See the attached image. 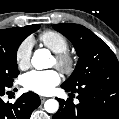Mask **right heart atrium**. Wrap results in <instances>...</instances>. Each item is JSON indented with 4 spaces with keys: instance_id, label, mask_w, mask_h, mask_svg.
Wrapping results in <instances>:
<instances>
[{
    "instance_id": "right-heart-atrium-1",
    "label": "right heart atrium",
    "mask_w": 119,
    "mask_h": 119,
    "mask_svg": "<svg viewBox=\"0 0 119 119\" xmlns=\"http://www.w3.org/2000/svg\"><path fill=\"white\" fill-rule=\"evenodd\" d=\"M32 54V40L26 38L17 48L15 58L20 69H25L30 65Z\"/></svg>"
}]
</instances>
